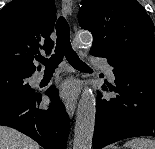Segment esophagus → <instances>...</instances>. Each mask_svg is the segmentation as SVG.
Segmentation results:
<instances>
[{
    "label": "esophagus",
    "mask_w": 155,
    "mask_h": 149,
    "mask_svg": "<svg viewBox=\"0 0 155 149\" xmlns=\"http://www.w3.org/2000/svg\"><path fill=\"white\" fill-rule=\"evenodd\" d=\"M62 11L67 16L70 17L72 14V1L71 0H62ZM76 109V99L67 98L66 100V111L68 115L72 118Z\"/></svg>",
    "instance_id": "34e87169"
}]
</instances>
